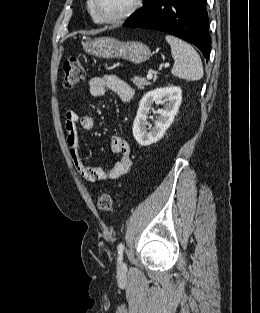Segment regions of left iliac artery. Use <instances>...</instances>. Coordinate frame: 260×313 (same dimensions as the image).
I'll return each instance as SVG.
<instances>
[{"label": "left iliac artery", "mask_w": 260, "mask_h": 313, "mask_svg": "<svg viewBox=\"0 0 260 313\" xmlns=\"http://www.w3.org/2000/svg\"><path fill=\"white\" fill-rule=\"evenodd\" d=\"M123 250H124V245L120 243L117 247L118 251V260L121 261L123 259Z\"/></svg>", "instance_id": "44dca946"}]
</instances>
